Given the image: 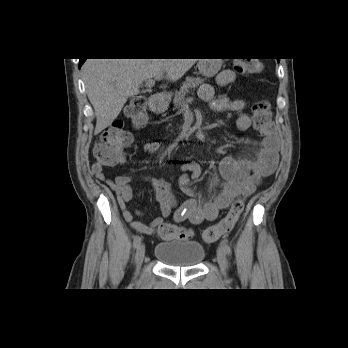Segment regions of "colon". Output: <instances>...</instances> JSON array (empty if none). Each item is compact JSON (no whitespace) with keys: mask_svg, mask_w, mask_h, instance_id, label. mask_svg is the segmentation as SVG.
Wrapping results in <instances>:
<instances>
[{"mask_svg":"<svg viewBox=\"0 0 348 348\" xmlns=\"http://www.w3.org/2000/svg\"><path fill=\"white\" fill-rule=\"evenodd\" d=\"M234 68L239 74H254L262 69V62L257 58H239L235 60ZM126 116L137 127L145 125L147 122L145 100L143 98L133 100L126 110ZM252 121L254 129L262 135L272 134L275 130L272 112L266 101L257 102L253 106ZM131 143V134L124 128L123 122L116 121L100 136L94 148L95 159L103 165H115L124 157ZM243 209L244 201L235 200L226 216L218 224L205 229L204 241L212 243L230 233ZM156 233L164 240H187L192 236L190 229L174 224H163Z\"/></svg>","mask_w":348,"mask_h":348,"instance_id":"1","label":"colon"}]
</instances>
